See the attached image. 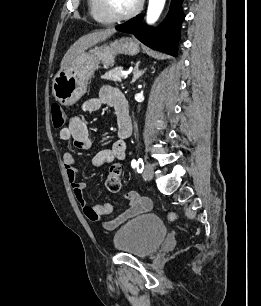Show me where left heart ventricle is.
I'll return each instance as SVG.
<instances>
[{
  "mask_svg": "<svg viewBox=\"0 0 261 306\" xmlns=\"http://www.w3.org/2000/svg\"><path fill=\"white\" fill-rule=\"evenodd\" d=\"M113 9L120 14L129 12L137 4L138 0H110Z\"/></svg>",
  "mask_w": 261,
  "mask_h": 306,
  "instance_id": "1",
  "label": "left heart ventricle"
}]
</instances>
